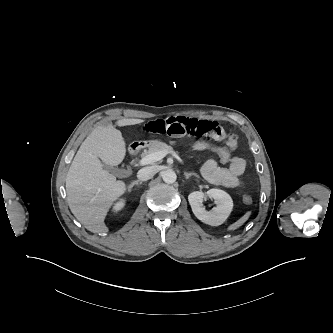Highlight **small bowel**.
<instances>
[{
	"label": "small bowel",
	"mask_w": 333,
	"mask_h": 333,
	"mask_svg": "<svg viewBox=\"0 0 333 333\" xmlns=\"http://www.w3.org/2000/svg\"><path fill=\"white\" fill-rule=\"evenodd\" d=\"M140 131L150 134H164L173 138L195 137L224 142L229 159L226 167L219 166L213 160H207L201 167L203 177L214 185L227 188H238L242 185L241 176L245 171V161L239 156H233L236 148V137L226 133L218 122L184 116H170L149 121L140 126Z\"/></svg>",
	"instance_id": "1"
}]
</instances>
